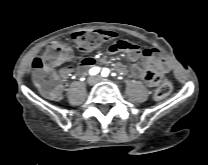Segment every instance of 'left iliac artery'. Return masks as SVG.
<instances>
[{
    "mask_svg": "<svg viewBox=\"0 0 208 165\" xmlns=\"http://www.w3.org/2000/svg\"><path fill=\"white\" fill-rule=\"evenodd\" d=\"M108 74H109V69L104 68L103 71H102V76H103V77H107Z\"/></svg>",
    "mask_w": 208,
    "mask_h": 165,
    "instance_id": "obj_1",
    "label": "left iliac artery"
}]
</instances>
